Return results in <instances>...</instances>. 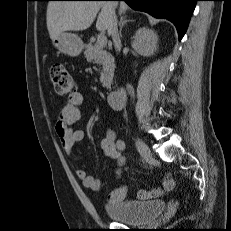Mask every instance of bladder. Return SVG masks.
Segmentation results:
<instances>
[{"label": "bladder", "instance_id": "31cf9c89", "mask_svg": "<svg viewBox=\"0 0 231 231\" xmlns=\"http://www.w3.org/2000/svg\"><path fill=\"white\" fill-rule=\"evenodd\" d=\"M163 201L141 202L128 200L119 204H109L104 210L116 222L130 225H148L164 211Z\"/></svg>", "mask_w": 231, "mask_h": 231}]
</instances>
